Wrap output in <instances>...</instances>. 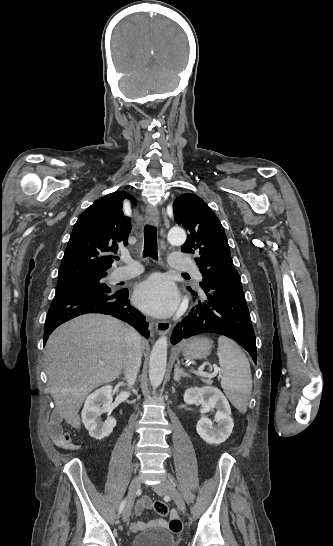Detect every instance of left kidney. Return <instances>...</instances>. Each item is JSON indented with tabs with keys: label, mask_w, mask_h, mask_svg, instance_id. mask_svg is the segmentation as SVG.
Here are the masks:
<instances>
[{
	"label": "left kidney",
	"mask_w": 333,
	"mask_h": 546,
	"mask_svg": "<svg viewBox=\"0 0 333 546\" xmlns=\"http://www.w3.org/2000/svg\"><path fill=\"white\" fill-rule=\"evenodd\" d=\"M184 401L187 404H201L207 410H215L213 422L203 416L197 423L196 429L200 437L208 444H220L232 433L234 427L231 417L230 404L224 394L216 387H193L185 391Z\"/></svg>",
	"instance_id": "left-kidney-1"
}]
</instances>
